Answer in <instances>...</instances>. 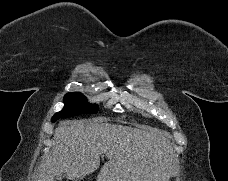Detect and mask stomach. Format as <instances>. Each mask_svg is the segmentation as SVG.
<instances>
[{
  "label": "stomach",
  "mask_w": 228,
  "mask_h": 181,
  "mask_svg": "<svg viewBox=\"0 0 228 181\" xmlns=\"http://www.w3.org/2000/svg\"><path fill=\"white\" fill-rule=\"evenodd\" d=\"M169 181H173L172 177H170Z\"/></svg>",
  "instance_id": "obj_1"
}]
</instances>
